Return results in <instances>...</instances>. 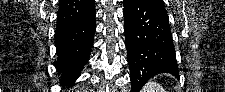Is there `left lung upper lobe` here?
<instances>
[{
	"mask_svg": "<svg viewBox=\"0 0 225 92\" xmlns=\"http://www.w3.org/2000/svg\"><path fill=\"white\" fill-rule=\"evenodd\" d=\"M145 1L152 2V3L158 4V5L164 6L163 0H145Z\"/></svg>",
	"mask_w": 225,
	"mask_h": 92,
	"instance_id": "1",
	"label": "left lung upper lobe"
}]
</instances>
